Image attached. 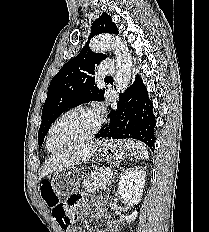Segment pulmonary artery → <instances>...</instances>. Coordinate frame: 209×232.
I'll use <instances>...</instances> for the list:
<instances>
[{"mask_svg": "<svg viewBox=\"0 0 209 232\" xmlns=\"http://www.w3.org/2000/svg\"><path fill=\"white\" fill-rule=\"evenodd\" d=\"M115 67L114 64L110 61H105L100 66L101 75H111L114 73Z\"/></svg>", "mask_w": 209, "mask_h": 232, "instance_id": "1", "label": "pulmonary artery"}]
</instances>
